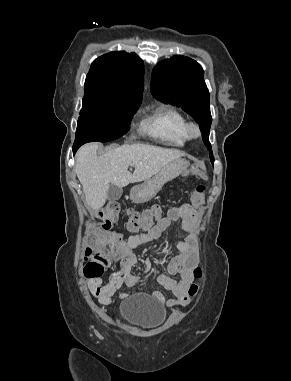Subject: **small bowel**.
I'll return each mask as SVG.
<instances>
[{"label": "small bowel", "mask_w": 291, "mask_h": 381, "mask_svg": "<svg viewBox=\"0 0 291 381\" xmlns=\"http://www.w3.org/2000/svg\"><path fill=\"white\" fill-rule=\"evenodd\" d=\"M197 215L198 211L196 209L188 204H182L170 208L167 217L159 220L147 233L132 235L124 239L119 232H111L108 237L104 238V243H109L113 256L121 260V271L111 275L106 283L103 282L101 277H89L88 285L93 296L101 304L108 305L112 296L122 285H138L139 280L131 272L137 263V257L134 255L133 250L160 238L162 233L169 227L170 222L175 221L179 222L185 236L176 243L178 254L168 264L167 274L159 276L160 284L172 294L173 298L166 300L160 291H155L153 295L160 303L169 307L187 305L190 301L188 289L193 281V269L199 259L193 233ZM89 238L95 243L98 238L97 230L92 232ZM93 245L89 248H92ZM147 265H150V262H147ZM170 275H178L180 279L178 281L174 280ZM120 296L124 297L125 294L122 293Z\"/></svg>", "instance_id": "obj_1"}]
</instances>
